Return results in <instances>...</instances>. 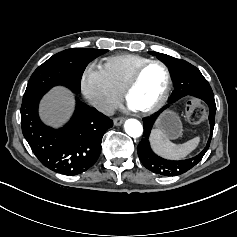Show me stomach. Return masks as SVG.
Segmentation results:
<instances>
[{"instance_id": "stomach-1", "label": "stomach", "mask_w": 237, "mask_h": 237, "mask_svg": "<svg viewBox=\"0 0 237 237\" xmlns=\"http://www.w3.org/2000/svg\"><path fill=\"white\" fill-rule=\"evenodd\" d=\"M158 127L164 131L169 138H177L181 135V123L178 117L171 113H165L158 122Z\"/></svg>"}]
</instances>
